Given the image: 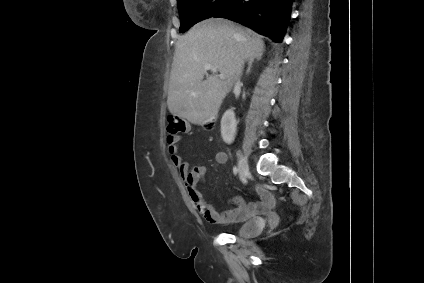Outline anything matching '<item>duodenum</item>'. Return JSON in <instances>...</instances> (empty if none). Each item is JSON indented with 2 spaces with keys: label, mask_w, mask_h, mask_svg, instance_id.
Masks as SVG:
<instances>
[{
  "label": "duodenum",
  "mask_w": 424,
  "mask_h": 283,
  "mask_svg": "<svg viewBox=\"0 0 424 283\" xmlns=\"http://www.w3.org/2000/svg\"><path fill=\"white\" fill-rule=\"evenodd\" d=\"M212 124H213L212 122H209L207 126H209V127H210Z\"/></svg>",
  "instance_id": "duodenum-1"
}]
</instances>
